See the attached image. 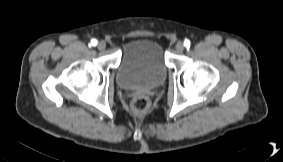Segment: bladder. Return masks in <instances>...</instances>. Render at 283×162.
Returning <instances> with one entry per match:
<instances>
[{"label": "bladder", "instance_id": "bladder-1", "mask_svg": "<svg viewBox=\"0 0 283 162\" xmlns=\"http://www.w3.org/2000/svg\"><path fill=\"white\" fill-rule=\"evenodd\" d=\"M168 67L160 43L151 38H136L126 43L116 70V83L124 89L152 88L167 76Z\"/></svg>", "mask_w": 283, "mask_h": 162}]
</instances>
